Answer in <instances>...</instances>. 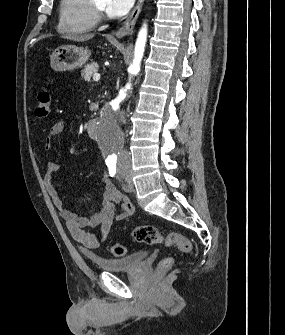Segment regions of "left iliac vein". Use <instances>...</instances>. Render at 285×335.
Here are the masks:
<instances>
[{"instance_id":"obj_1","label":"left iliac vein","mask_w":285,"mask_h":335,"mask_svg":"<svg viewBox=\"0 0 285 335\" xmlns=\"http://www.w3.org/2000/svg\"><path fill=\"white\" fill-rule=\"evenodd\" d=\"M122 174V173H120ZM126 179V184L123 185V188L125 191L127 192H133L134 191V184L132 182V179L130 178V176L128 175L127 177H125Z\"/></svg>"}]
</instances>
